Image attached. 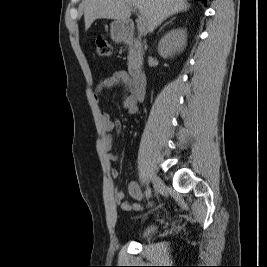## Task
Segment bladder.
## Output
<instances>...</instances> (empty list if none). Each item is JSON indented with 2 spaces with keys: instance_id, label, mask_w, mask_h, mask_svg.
<instances>
[{
  "instance_id": "1",
  "label": "bladder",
  "mask_w": 267,
  "mask_h": 267,
  "mask_svg": "<svg viewBox=\"0 0 267 267\" xmlns=\"http://www.w3.org/2000/svg\"><path fill=\"white\" fill-rule=\"evenodd\" d=\"M157 230V227L155 225H151L146 227L140 234L141 239H147L151 237Z\"/></svg>"
}]
</instances>
